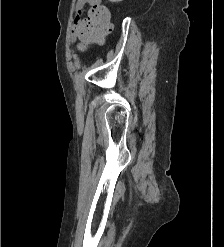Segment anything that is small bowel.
I'll return each instance as SVG.
<instances>
[{"label": "small bowel", "mask_w": 224, "mask_h": 247, "mask_svg": "<svg viewBox=\"0 0 224 247\" xmlns=\"http://www.w3.org/2000/svg\"><path fill=\"white\" fill-rule=\"evenodd\" d=\"M100 0H76L75 3V15L72 25V39H80V30L85 18L84 15L89 14L92 7L98 6Z\"/></svg>", "instance_id": "1"}]
</instances>
